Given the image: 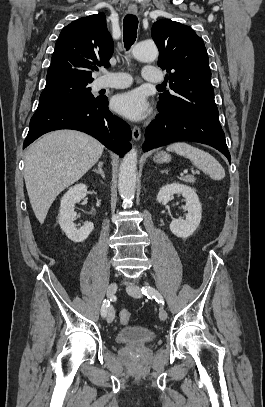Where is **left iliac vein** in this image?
I'll list each match as a JSON object with an SVG mask.
<instances>
[{
    "label": "left iliac vein",
    "instance_id": "4c4485c4",
    "mask_svg": "<svg viewBox=\"0 0 265 407\" xmlns=\"http://www.w3.org/2000/svg\"><path fill=\"white\" fill-rule=\"evenodd\" d=\"M127 292L129 295H131L134 298L142 297V293L140 292L139 286L131 285V286L127 287ZM167 317H168V314H167L166 310L164 308H161L159 311L160 320L164 321L167 319Z\"/></svg>",
    "mask_w": 265,
    "mask_h": 407
}]
</instances>
